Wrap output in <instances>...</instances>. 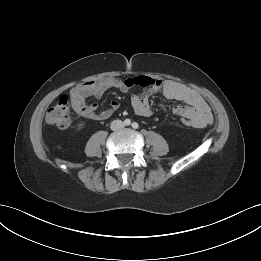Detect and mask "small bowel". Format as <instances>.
<instances>
[{"label": "small bowel", "mask_w": 261, "mask_h": 261, "mask_svg": "<svg viewBox=\"0 0 261 261\" xmlns=\"http://www.w3.org/2000/svg\"><path fill=\"white\" fill-rule=\"evenodd\" d=\"M135 87L143 89L142 94H134L131 97V105L137 115L151 116L150 98L156 93H161L168 100H177L186 104L174 107L173 113L190 119L193 127L204 128L213 121L209 105L197 91L171 80L154 79L145 75L126 79L106 77L88 81L73 87L69 92V98L73 110L78 115L91 120H105L119 108V103L112 101L109 108L98 111L97 104H88L86 98H101L111 88L128 93Z\"/></svg>", "instance_id": "obj_1"}]
</instances>
